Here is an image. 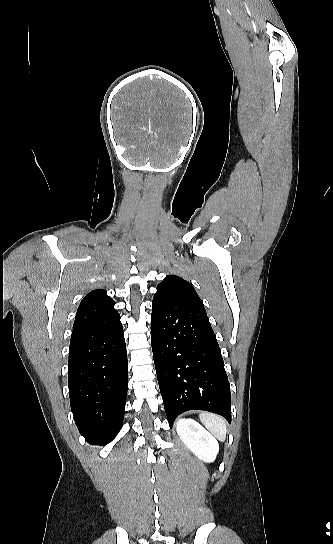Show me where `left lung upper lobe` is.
Segmentation results:
<instances>
[{"instance_id":"obj_1","label":"left lung upper lobe","mask_w":333,"mask_h":544,"mask_svg":"<svg viewBox=\"0 0 333 544\" xmlns=\"http://www.w3.org/2000/svg\"><path fill=\"white\" fill-rule=\"evenodd\" d=\"M165 300L182 301L204 307L192 284L176 275L167 276L157 285L153 301L163 303Z\"/></svg>"}]
</instances>
